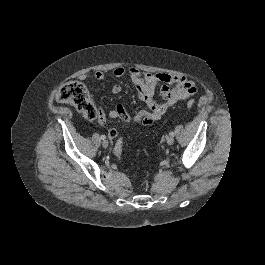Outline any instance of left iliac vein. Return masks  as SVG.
<instances>
[{"label": "left iliac vein", "instance_id": "obj_1", "mask_svg": "<svg viewBox=\"0 0 265 265\" xmlns=\"http://www.w3.org/2000/svg\"><path fill=\"white\" fill-rule=\"evenodd\" d=\"M167 144L173 145L174 144V138L173 137H167Z\"/></svg>", "mask_w": 265, "mask_h": 265}]
</instances>
